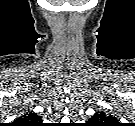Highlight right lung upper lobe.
Here are the masks:
<instances>
[{"instance_id":"cb5924a9","label":"right lung upper lobe","mask_w":135,"mask_h":126,"mask_svg":"<svg viewBox=\"0 0 135 126\" xmlns=\"http://www.w3.org/2000/svg\"><path fill=\"white\" fill-rule=\"evenodd\" d=\"M41 121V118L36 113H26L17 119L16 125L35 126Z\"/></svg>"}]
</instances>
